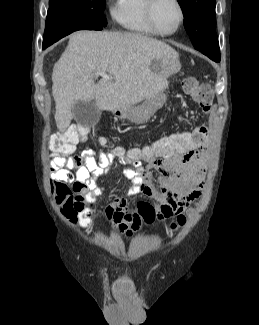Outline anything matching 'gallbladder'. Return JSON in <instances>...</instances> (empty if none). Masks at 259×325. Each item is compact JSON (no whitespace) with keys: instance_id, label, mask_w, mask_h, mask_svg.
Returning a JSON list of instances; mask_svg holds the SVG:
<instances>
[{"instance_id":"obj_1","label":"gallbladder","mask_w":259,"mask_h":325,"mask_svg":"<svg viewBox=\"0 0 259 325\" xmlns=\"http://www.w3.org/2000/svg\"><path fill=\"white\" fill-rule=\"evenodd\" d=\"M73 117L86 125L94 126L100 119V114L93 101H78L72 107Z\"/></svg>"}]
</instances>
